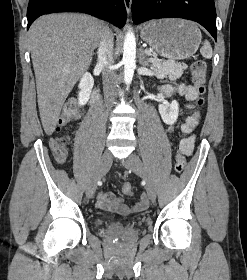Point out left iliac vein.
<instances>
[{"label": "left iliac vein", "instance_id": "obj_1", "mask_svg": "<svg viewBox=\"0 0 247 280\" xmlns=\"http://www.w3.org/2000/svg\"><path fill=\"white\" fill-rule=\"evenodd\" d=\"M122 165L134 173L142 176L146 180V190L150 200L156 198V188L152 180L148 177L140 158L136 154H130L126 159L121 161Z\"/></svg>", "mask_w": 247, "mask_h": 280}]
</instances>
